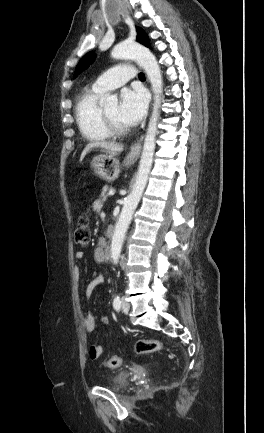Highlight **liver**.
Returning a JSON list of instances; mask_svg holds the SVG:
<instances>
[{"mask_svg":"<svg viewBox=\"0 0 264 433\" xmlns=\"http://www.w3.org/2000/svg\"><path fill=\"white\" fill-rule=\"evenodd\" d=\"M93 148H101L106 153H109L111 155H117L123 151V145L114 143V142H107V141H95L90 142L86 145L84 150L81 153L80 161L84 159V157L93 149Z\"/></svg>","mask_w":264,"mask_h":433,"instance_id":"1","label":"liver"}]
</instances>
